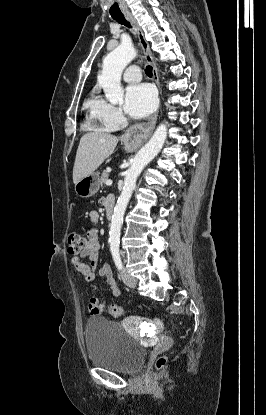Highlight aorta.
<instances>
[{"label": "aorta", "instance_id": "obj_1", "mask_svg": "<svg viewBox=\"0 0 266 415\" xmlns=\"http://www.w3.org/2000/svg\"><path fill=\"white\" fill-rule=\"evenodd\" d=\"M136 56L137 52L131 44H121L104 58L98 82L111 104H119L123 101L124 91L121 87V75L125 67ZM166 138L167 127L165 124H160L149 142L135 155L130 168L125 174L123 190L114 208L110 224L109 243L111 251L119 250L123 216L135 189L137 178L144 167L160 152Z\"/></svg>", "mask_w": 266, "mask_h": 415}]
</instances>
